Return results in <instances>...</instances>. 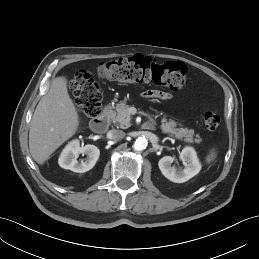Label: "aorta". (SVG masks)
<instances>
[{
  "label": "aorta",
  "instance_id": "762f6f07",
  "mask_svg": "<svg viewBox=\"0 0 259 259\" xmlns=\"http://www.w3.org/2000/svg\"><path fill=\"white\" fill-rule=\"evenodd\" d=\"M147 139L145 137H139L138 139H136L134 145H133V148L136 150V151H141V150H144L147 146Z\"/></svg>",
  "mask_w": 259,
  "mask_h": 259
}]
</instances>
